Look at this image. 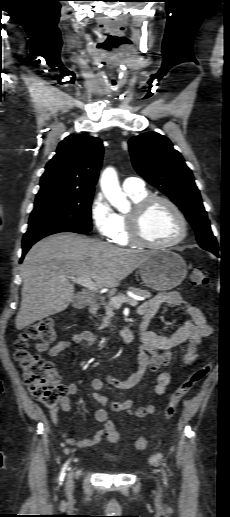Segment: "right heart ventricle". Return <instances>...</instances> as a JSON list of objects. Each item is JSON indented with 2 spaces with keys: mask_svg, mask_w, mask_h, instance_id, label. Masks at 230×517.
<instances>
[{
  "mask_svg": "<svg viewBox=\"0 0 230 517\" xmlns=\"http://www.w3.org/2000/svg\"><path fill=\"white\" fill-rule=\"evenodd\" d=\"M129 197L133 200L134 203L139 202L143 198L148 196V192L146 190L141 192H132L128 193ZM119 217V229L114 238V241L122 246L131 245L132 242L129 238V225H128V215L120 214Z\"/></svg>",
  "mask_w": 230,
  "mask_h": 517,
  "instance_id": "1",
  "label": "right heart ventricle"
}]
</instances>
